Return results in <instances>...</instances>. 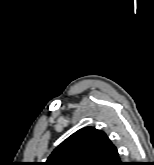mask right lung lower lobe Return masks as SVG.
I'll return each mask as SVG.
<instances>
[{"instance_id":"right-lung-lower-lobe-1","label":"right lung lower lobe","mask_w":154,"mask_h":165,"mask_svg":"<svg viewBox=\"0 0 154 165\" xmlns=\"http://www.w3.org/2000/svg\"><path fill=\"white\" fill-rule=\"evenodd\" d=\"M113 165H122V162L119 160V157L117 160L113 163Z\"/></svg>"}]
</instances>
